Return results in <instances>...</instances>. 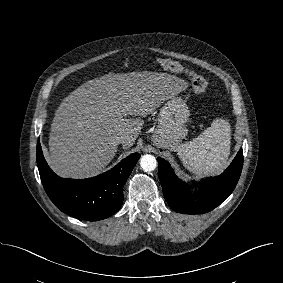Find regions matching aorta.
<instances>
[{
	"label": "aorta",
	"instance_id": "1",
	"mask_svg": "<svg viewBox=\"0 0 283 283\" xmlns=\"http://www.w3.org/2000/svg\"><path fill=\"white\" fill-rule=\"evenodd\" d=\"M140 165L145 172H150L156 169L157 160L153 155L145 154L140 158Z\"/></svg>",
	"mask_w": 283,
	"mask_h": 283
}]
</instances>
